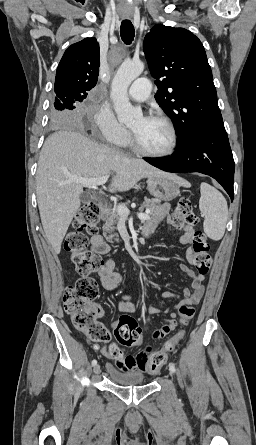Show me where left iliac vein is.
<instances>
[{
    "instance_id": "left-iliac-vein-1",
    "label": "left iliac vein",
    "mask_w": 256,
    "mask_h": 445,
    "mask_svg": "<svg viewBox=\"0 0 256 445\" xmlns=\"http://www.w3.org/2000/svg\"><path fill=\"white\" fill-rule=\"evenodd\" d=\"M172 373H174V372H172V371L170 370V374H172Z\"/></svg>"
}]
</instances>
